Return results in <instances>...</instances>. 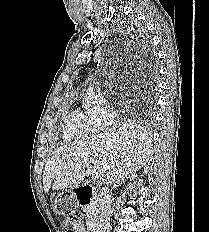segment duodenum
I'll return each mask as SVG.
<instances>
[{"label": "duodenum", "instance_id": "410a0bca", "mask_svg": "<svg viewBox=\"0 0 209 232\" xmlns=\"http://www.w3.org/2000/svg\"><path fill=\"white\" fill-rule=\"evenodd\" d=\"M75 195L81 207L89 205L94 199L93 190L90 186L87 185L77 186L75 188ZM88 232H97V229L95 226H91L88 229Z\"/></svg>", "mask_w": 209, "mask_h": 232}]
</instances>
